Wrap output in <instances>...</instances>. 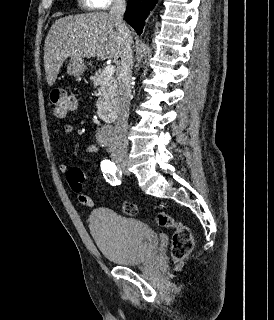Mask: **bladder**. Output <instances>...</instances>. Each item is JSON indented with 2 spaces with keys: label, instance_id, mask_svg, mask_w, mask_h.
Returning <instances> with one entry per match:
<instances>
[{
  "label": "bladder",
  "instance_id": "bladder-1",
  "mask_svg": "<svg viewBox=\"0 0 274 320\" xmlns=\"http://www.w3.org/2000/svg\"><path fill=\"white\" fill-rule=\"evenodd\" d=\"M89 230L101 254L120 266L143 264L158 249V236L148 224L112 209L93 211L89 217Z\"/></svg>",
  "mask_w": 274,
  "mask_h": 320
}]
</instances>
